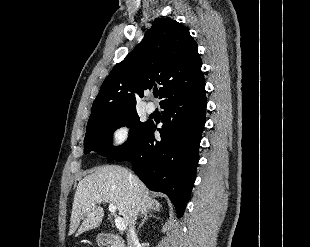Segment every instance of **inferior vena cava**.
Returning <instances> with one entry per match:
<instances>
[{
  "label": "inferior vena cava",
  "instance_id": "1",
  "mask_svg": "<svg viewBox=\"0 0 310 247\" xmlns=\"http://www.w3.org/2000/svg\"><path fill=\"white\" fill-rule=\"evenodd\" d=\"M130 180H133V176L132 174H130ZM130 233L128 235V244L129 247H135V245L138 243V238L137 235L135 233V228H134V222L130 227Z\"/></svg>",
  "mask_w": 310,
  "mask_h": 247
}]
</instances>
